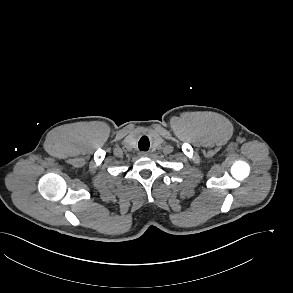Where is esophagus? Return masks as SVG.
Returning a JSON list of instances; mask_svg holds the SVG:
<instances>
[{"instance_id":"34e87169","label":"esophagus","mask_w":293,"mask_h":293,"mask_svg":"<svg viewBox=\"0 0 293 293\" xmlns=\"http://www.w3.org/2000/svg\"><path fill=\"white\" fill-rule=\"evenodd\" d=\"M139 155H140L141 157H146L148 154H147L146 152H143V151H142V152L139 153Z\"/></svg>"}]
</instances>
